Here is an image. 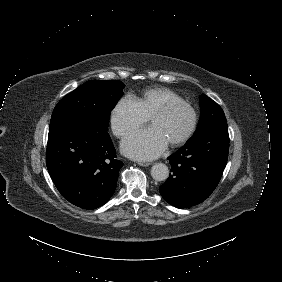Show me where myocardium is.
<instances>
[{
    "mask_svg": "<svg viewBox=\"0 0 282 282\" xmlns=\"http://www.w3.org/2000/svg\"><path fill=\"white\" fill-rule=\"evenodd\" d=\"M177 109L184 110L187 113L189 120H188V125L185 131L183 132V134L179 136L177 139L169 142L171 145H174V146L183 144L193 134L196 124H197V115H196L195 110L188 103L181 101V100H175V101L169 102L165 107L155 110L154 112H152V114L149 117V122L151 123L154 117L165 116L169 114L170 112L177 110Z\"/></svg>",
    "mask_w": 282,
    "mask_h": 282,
    "instance_id": "myocardium-1",
    "label": "myocardium"
}]
</instances>
